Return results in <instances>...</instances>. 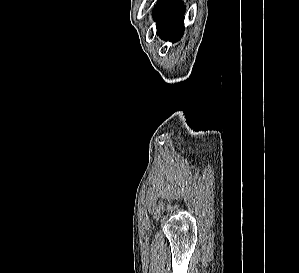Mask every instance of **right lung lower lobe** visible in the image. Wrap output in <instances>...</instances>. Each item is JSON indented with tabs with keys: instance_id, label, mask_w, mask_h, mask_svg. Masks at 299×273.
<instances>
[{
	"instance_id": "1",
	"label": "right lung lower lobe",
	"mask_w": 299,
	"mask_h": 273,
	"mask_svg": "<svg viewBox=\"0 0 299 273\" xmlns=\"http://www.w3.org/2000/svg\"><path fill=\"white\" fill-rule=\"evenodd\" d=\"M184 3L178 0H159L154 8L157 34L164 40L176 42L184 31Z\"/></svg>"
}]
</instances>
